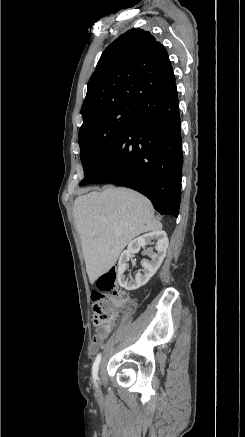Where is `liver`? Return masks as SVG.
I'll return each instance as SVG.
<instances>
[{
    "instance_id": "liver-1",
    "label": "liver",
    "mask_w": 245,
    "mask_h": 437,
    "mask_svg": "<svg viewBox=\"0 0 245 437\" xmlns=\"http://www.w3.org/2000/svg\"><path fill=\"white\" fill-rule=\"evenodd\" d=\"M73 214L91 284L116 263L135 237L162 229L151 202L126 188L110 186L80 195Z\"/></svg>"
}]
</instances>
